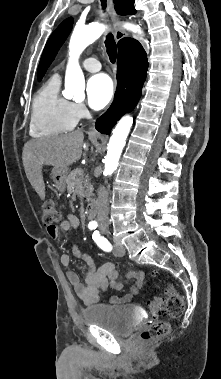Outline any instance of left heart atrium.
Masks as SVG:
<instances>
[{"instance_id":"1","label":"left heart atrium","mask_w":221,"mask_h":379,"mask_svg":"<svg viewBox=\"0 0 221 379\" xmlns=\"http://www.w3.org/2000/svg\"><path fill=\"white\" fill-rule=\"evenodd\" d=\"M87 101L94 110L104 108L114 96V83L106 74H97L91 77L87 83Z\"/></svg>"}]
</instances>
